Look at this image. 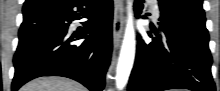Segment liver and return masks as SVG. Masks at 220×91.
I'll return each mask as SVG.
<instances>
[{
	"mask_svg": "<svg viewBox=\"0 0 220 91\" xmlns=\"http://www.w3.org/2000/svg\"><path fill=\"white\" fill-rule=\"evenodd\" d=\"M20 91H87L81 84L63 77H40L25 84Z\"/></svg>",
	"mask_w": 220,
	"mask_h": 91,
	"instance_id": "6515ba94",
	"label": "liver"
}]
</instances>
